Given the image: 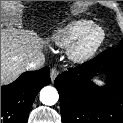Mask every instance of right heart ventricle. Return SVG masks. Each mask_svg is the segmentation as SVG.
Returning <instances> with one entry per match:
<instances>
[{"label": "right heart ventricle", "mask_w": 123, "mask_h": 123, "mask_svg": "<svg viewBox=\"0 0 123 123\" xmlns=\"http://www.w3.org/2000/svg\"><path fill=\"white\" fill-rule=\"evenodd\" d=\"M94 25L89 19L79 18L51 29L49 41L60 48H69L86 30Z\"/></svg>", "instance_id": "e07e8e85"}]
</instances>
